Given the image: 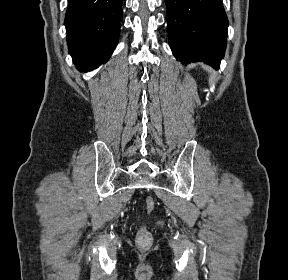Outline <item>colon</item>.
Here are the masks:
<instances>
[{"label": "colon", "instance_id": "obj_1", "mask_svg": "<svg viewBox=\"0 0 288 280\" xmlns=\"http://www.w3.org/2000/svg\"><path fill=\"white\" fill-rule=\"evenodd\" d=\"M155 208V200L152 197H147L145 200V209L150 213ZM152 242V235L146 227H140L137 233V243L140 247H148Z\"/></svg>", "mask_w": 288, "mask_h": 280}]
</instances>
